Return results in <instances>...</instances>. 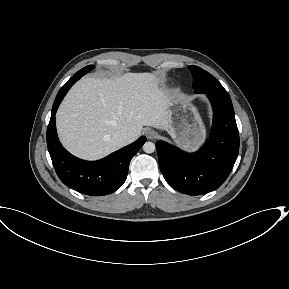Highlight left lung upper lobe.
Listing matches in <instances>:
<instances>
[{"instance_id":"left-lung-upper-lobe-1","label":"left lung upper lobe","mask_w":289,"mask_h":289,"mask_svg":"<svg viewBox=\"0 0 289 289\" xmlns=\"http://www.w3.org/2000/svg\"><path fill=\"white\" fill-rule=\"evenodd\" d=\"M193 75V88L196 93L229 96L220 82L207 71L198 66H188Z\"/></svg>"}]
</instances>
